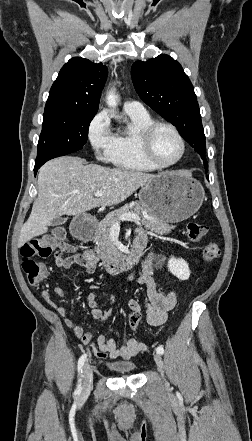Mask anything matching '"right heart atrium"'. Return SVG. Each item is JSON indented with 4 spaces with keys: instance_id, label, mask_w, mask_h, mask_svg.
<instances>
[{
    "instance_id": "obj_1",
    "label": "right heart atrium",
    "mask_w": 252,
    "mask_h": 441,
    "mask_svg": "<svg viewBox=\"0 0 252 441\" xmlns=\"http://www.w3.org/2000/svg\"><path fill=\"white\" fill-rule=\"evenodd\" d=\"M87 138L96 158L103 162L113 161L116 150V136L111 129L108 114L97 113L87 128Z\"/></svg>"
}]
</instances>
